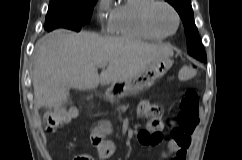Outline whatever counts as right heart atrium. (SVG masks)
Wrapping results in <instances>:
<instances>
[{
  "label": "right heart atrium",
  "mask_w": 242,
  "mask_h": 160,
  "mask_svg": "<svg viewBox=\"0 0 242 160\" xmlns=\"http://www.w3.org/2000/svg\"><path fill=\"white\" fill-rule=\"evenodd\" d=\"M97 8L99 21L111 27V18L113 14L111 0H99Z\"/></svg>",
  "instance_id": "obj_1"
}]
</instances>
